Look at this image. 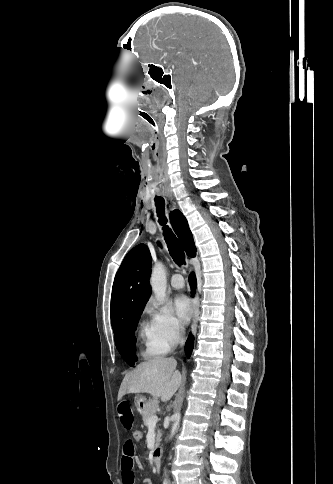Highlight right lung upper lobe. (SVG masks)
Instances as JSON below:
<instances>
[{"mask_svg":"<svg viewBox=\"0 0 333 484\" xmlns=\"http://www.w3.org/2000/svg\"><path fill=\"white\" fill-rule=\"evenodd\" d=\"M170 223L187 255L194 257L196 248L186 218L179 210H174L170 213ZM151 264L149 249L144 244L137 245L124 258L112 288L111 322L114 334L130 314L143 311L151 294Z\"/></svg>","mask_w":333,"mask_h":484,"instance_id":"right-lung-upper-lobe-1","label":"right lung upper lobe"}]
</instances>
